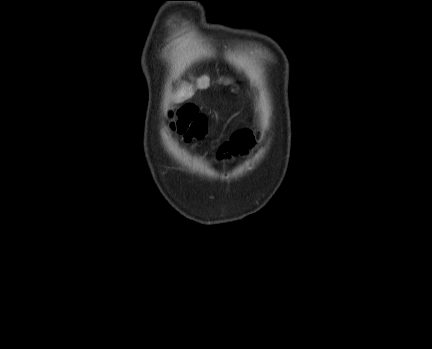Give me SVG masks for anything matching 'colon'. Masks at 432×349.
<instances>
[{
  "instance_id": "5ec220e1",
  "label": "colon",
  "mask_w": 432,
  "mask_h": 349,
  "mask_svg": "<svg viewBox=\"0 0 432 349\" xmlns=\"http://www.w3.org/2000/svg\"><path fill=\"white\" fill-rule=\"evenodd\" d=\"M172 128L182 134L187 141L202 139L207 132V121L193 105H185L177 112Z\"/></svg>"
}]
</instances>
